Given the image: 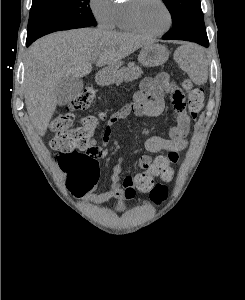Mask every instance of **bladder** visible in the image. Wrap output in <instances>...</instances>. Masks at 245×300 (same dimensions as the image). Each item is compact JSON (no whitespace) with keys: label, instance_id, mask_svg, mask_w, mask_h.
I'll return each instance as SVG.
<instances>
[{"label":"bladder","instance_id":"1","mask_svg":"<svg viewBox=\"0 0 245 300\" xmlns=\"http://www.w3.org/2000/svg\"><path fill=\"white\" fill-rule=\"evenodd\" d=\"M126 205L125 203H118L116 206H115V209L116 210H123L125 209Z\"/></svg>","mask_w":245,"mask_h":300}]
</instances>
